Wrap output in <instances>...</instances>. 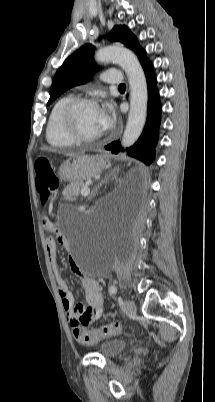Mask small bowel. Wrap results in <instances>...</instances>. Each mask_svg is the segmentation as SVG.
<instances>
[{"label":"small bowel","instance_id":"obj_1","mask_svg":"<svg viewBox=\"0 0 215 402\" xmlns=\"http://www.w3.org/2000/svg\"><path fill=\"white\" fill-rule=\"evenodd\" d=\"M46 230L49 232H56L57 235V242L52 237L46 239V249L57 281L58 293L67 320L73 328L75 326H87L96 322L102 317L105 310L100 283L95 279L82 274L75 262L71 261V270L80 277L88 307H85L82 304H75L74 297L70 293L67 282L62 276L57 263V243L67 249L69 247V242L61 232L56 230L53 222L51 227Z\"/></svg>","mask_w":215,"mask_h":402}]
</instances>
